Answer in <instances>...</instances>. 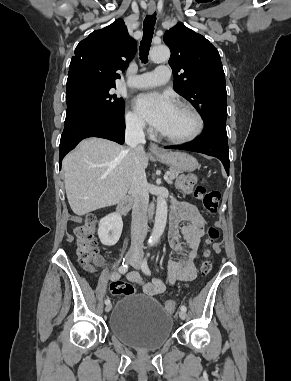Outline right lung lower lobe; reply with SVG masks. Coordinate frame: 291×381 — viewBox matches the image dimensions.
Masks as SVG:
<instances>
[{"label":"right lung lower lobe","instance_id":"obj_1","mask_svg":"<svg viewBox=\"0 0 291 381\" xmlns=\"http://www.w3.org/2000/svg\"><path fill=\"white\" fill-rule=\"evenodd\" d=\"M124 113L99 115L87 102L79 99L67 101L64 130L59 146V165L64 156L83 139L100 137L124 142Z\"/></svg>","mask_w":291,"mask_h":381}]
</instances>
